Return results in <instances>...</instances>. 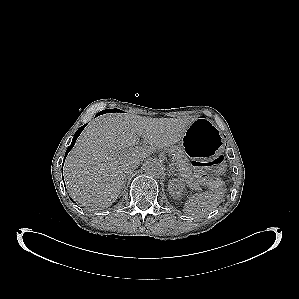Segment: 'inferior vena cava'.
Here are the masks:
<instances>
[{
	"mask_svg": "<svg viewBox=\"0 0 299 299\" xmlns=\"http://www.w3.org/2000/svg\"><path fill=\"white\" fill-rule=\"evenodd\" d=\"M139 163L138 162H132L129 166V170L127 172H130L131 170H135L138 167Z\"/></svg>",
	"mask_w": 299,
	"mask_h": 299,
	"instance_id": "602c4592",
	"label": "inferior vena cava"
}]
</instances>
